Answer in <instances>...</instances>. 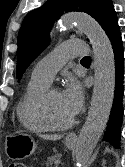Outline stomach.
Segmentation results:
<instances>
[{
  "label": "stomach",
  "mask_w": 125,
  "mask_h": 167,
  "mask_svg": "<svg viewBox=\"0 0 125 167\" xmlns=\"http://www.w3.org/2000/svg\"><path fill=\"white\" fill-rule=\"evenodd\" d=\"M66 146L72 148L74 144L66 142ZM35 149L36 143L28 134L15 132L6 137L5 152L13 160L28 157L35 152Z\"/></svg>",
  "instance_id": "1"
}]
</instances>
